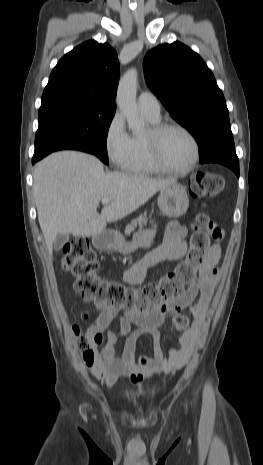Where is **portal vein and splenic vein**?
Instances as JSON below:
<instances>
[{
  "mask_svg": "<svg viewBox=\"0 0 263 465\" xmlns=\"http://www.w3.org/2000/svg\"><path fill=\"white\" fill-rule=\"evenodd\" d=\"M112 201H113L112 198H104V199L101 200L103 205H108Z\"/></svg>",
  "mask_w": 263,
  "mask_h": 465,
  "instance_id": "obj_1",
  "label": "portal vein and splenic vein"
}]
</instances>
